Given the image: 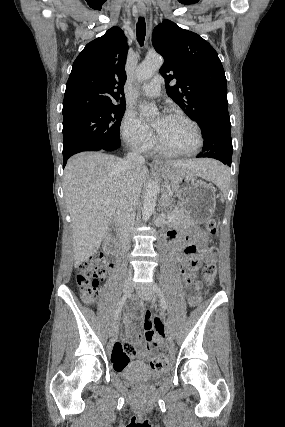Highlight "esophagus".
I'll return each instance as SVG.
<instances>
[{"mask_svg": "<svg viewBox=\"0 0 285 427\" xmlns=\"http://www.w3.org/2000/svg\"><path fill=\"white\" fill-rule=\"evenodd\" d=\"M138 13H139V15L143 16L145 14V7L144 6H138ZM152 164L153 165H157L158 162L155 161Z\"/></svg>", "mask_w": 285, "mask_h": 427, "instance_id": "esophagus-1", "label": "esophagus"}]
</instances>
